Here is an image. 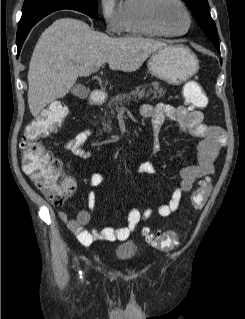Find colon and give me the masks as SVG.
<instances>
[{
	"instance_id": "colon-1",
	"label": "colon",
	"mask_w": 245,
	"mask_h": 319,
	"mask_svg": "<svg viewBox=\"0 0 245 319\" xmlns=\"http://www.w3.org/2000/svg\"><path fill=\"white\" fill-rule=\"evenodd\" d=\"M183 94L187 105L193 109L208 105L207 95L196 79L186 82ZM67 115L68 109L64 104H51L27 126L24 139L20 143L24 172L54 205L63 204L74 192L76 184L73 178L63 172L61 161L47 151L39 140L58 129ZM210 190V178L205 176L192 195L194 207H203ZM142 234L145 240L157 249L167 251L176 248L177 237L173 232L153 233L144 228Z\"/></svg>"
}]
</instances>
